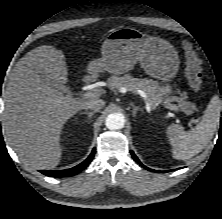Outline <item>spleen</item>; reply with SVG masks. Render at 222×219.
<instances>
[{
  "mask_svg": "<svg viewBox=\"0 0 222 219\" xmlns=\"http://www.w3.org/2000/svg\"><path fill=\"white\" fill-rule=\"evenodd\" d=\"M222 101L215 95L211 98L202 120L195 128L184 131L178 124H171L167 128V135L173 147V157L187 160L200 153L212 139L220 121Z\"/></svg>",
  "mask_w": 222,
  "mask_h": 219,
  "instance_id": "3e777b00",
  "label": "spleen"
}]
</instances>
